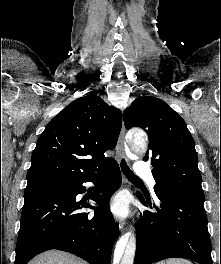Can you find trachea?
<instances>
[{
    "label": "trachea",
    "mask_w": 221,
    "mask_h": 264,
    "mask_svg": "<svg viewBox=\"0 0 221 264\" xmlns=\"http://www.w3.org/2000/svg\"><path fill=\"white\" fill-rule=\"evenodd\" d=\"M121 169H122V172L124 173V175L129 180L142 183V180L130 170V168L128 167V165L124 159L121 161Z\"/></svg>",
    "instance_id": "obj_1"
}]
</instances>
